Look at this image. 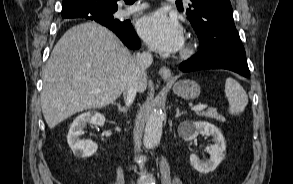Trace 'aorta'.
<instances>
[{"mask_svg": "<svg viewBox=\"0 0 293 184\" xmlns=\"http://www.w3.org/2000/svg\"><path fill=\"white\" fill-rule=\"evenodd\" d=\"M163 113L160 109H154L150 114L144 130V146L154 148L161 139L163 127Z\"/></svg>", "mask_w": 293, "mask_h": 184, "instance_id": "obj_1", "label": "aorta"}]
</instances>
